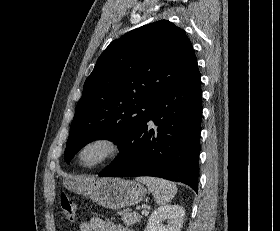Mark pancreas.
<instances>
[{
    "label": "pancreas",
    "instance_id": "1",
    "mask_svg": "<svg viewBox=\"0 0 280 231\" xmlns=\"http://www.w3.org/2000/svg\"><path fill=\"white\" fill-rule=\"evenodd\" d=\"M119 215H122V219L126 225H132V223H136V221H140L142 215H138V213H130L129 209H122V211H118Z\"/></svg>",
    "mask_w": 280,
    "mask_h": 231
}]
</instances>
